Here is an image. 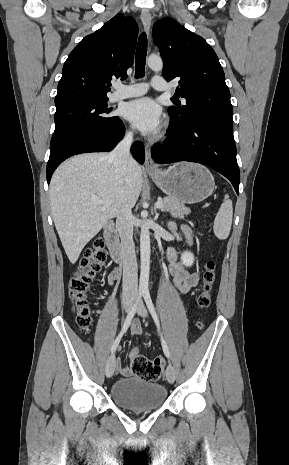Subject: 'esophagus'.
Segmentation results:
<instances>
[{"instance_id": "34e87169", "label": "esophagus", "mask_w": 289, "mask_h": 465, "mask_svg": "<svg viewBox=\"0 0 289 465\" xmlns=\"http://www.w3.org/2000/svg\"><path fill=\"white\" fill-rule=\"evenodd\" d=\"M141 21H142L144 31L147 33V35H149L150 27H151V14L146 10L142 11ZM145 168L147 171L158 170V167L152 158L150 145H146L145 147Z\"/></svg>"}]
</instances>
